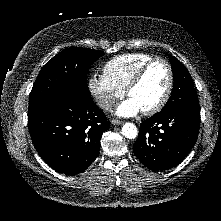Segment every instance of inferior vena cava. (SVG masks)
I'll return each mask as SVG.
<instances>
[{
	"label": "inferior vena cava",
	"mask_w": 221,
	"mask_h": 221,
	"mask_svg": "<svg viewBox=\"0 0 221 221\" xmlns=\"http://www.w3.org/2000/svg\"><path fill=\"white\" fill-rule=\"evenodd\" d=\"M97 104L100 108L106 110V111H112L115 107L116 104L113 101V99L109 97H101L97 100Z\"/></svg>",
	"instance_id": "obj_1"
}]
</instances>
